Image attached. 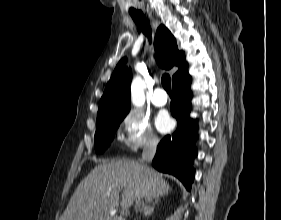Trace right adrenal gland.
<instances>
[{
  "mask_svg": "<svg viewBox=\"0 0 281 220\" xmlns=\"http://www.w3.org/2000/svg\"><path fill=\"white\" fill-rule=\"evenodd\" d=\"M159 203V199L155 198L154 202L153 201H149V205H146L144 207V215L146 217H149L150 215H152V213L154 212L155 206L158 205Z\"/></svg>",
  "mask_w": 281,
  "mask_h": 220,
  "instance_id": "1",
  "label": "right adrenal gland"
}]
</instances>
